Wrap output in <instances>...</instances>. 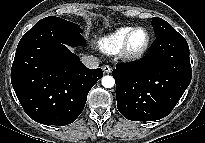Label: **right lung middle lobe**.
<instances>
[{"label":"right lung middle lobe","instance_id":"obj_1","mask_svg":"<svg viewBox=\"0 0 205 143\" xmlns=\"http://www.w3.org/2000/svg\"><path fill=\"white\" fill-rule=\"evenodd\" d=\"M40 21H53V22H56L64 27L72 29L76 32H79V33L82 32V29L80 28V26L78 24H75L73 22L67 21L65 19H62V18H59L56 16H49V17H46L44 19H41Z\"/></svg>","mask_w":205,"mask_h":143}]
</instances>
